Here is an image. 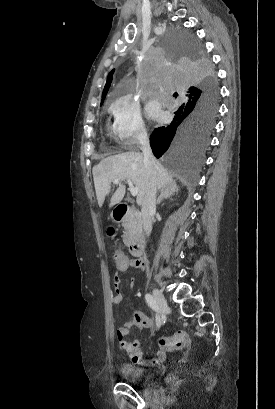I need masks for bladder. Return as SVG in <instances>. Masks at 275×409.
Here are the masks:
<instances>
[{"mask_svg": "<svg viewBox=\"0 0 275 409\" xmlns=\"http://www.w3.org/2000/svg\"><path fill=\"white\" fill-rule=\"evenodd\" d=\"M120 372L123 376V380L130 384L139 385L142 382H152L153 379L150 368H143L132 362L122 364Z\"/></svg>", "mask_w": 275, "mask_h": 409, "instance_id": "bladder-1", "label": "bladder"}]
</instances>
